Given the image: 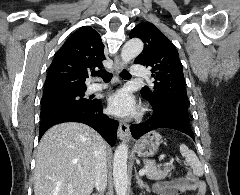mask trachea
Wrapping results in <instances>:
<instances>
[{
    "mask_svg": "<svg viewBox=\"0 0 240 195\" xmlns=\"http://www.w3.org/2000/svg\"><path fill=\"white\" fill-rule=\"evenodd\" d=\"M92 75H94L95 77H101L104 82H110V80L112 79V73L106 70H99L98 72H92ZM120 76L121 78L131 77L130 73L127 70H122V72H120Z\"/></svg>",
    "mask_w": 240,
    "mask_h": 195,
    "instance_id": "trachea-1",
    "label": "trachea"
}]
</instances>
